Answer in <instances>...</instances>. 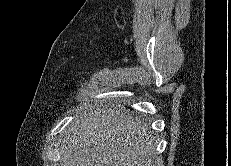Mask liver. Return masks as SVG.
Masks as SVG:
<instances>
[{
    "mask_svg": "<svg viewBox=\"0 0 231 166\" xmlns=\"http://www.w3.org/2000/svg\"><path fill=\"white\" fill-rule=\"evenodd\" d=\"M151 131L117 108H88L65 129L61 166H153Z\"/></svg>",
    "mask_w": 231,
    "mask_h": 166,
    "instance_id": "1",
    "label": "liver"
}]
</instances>
